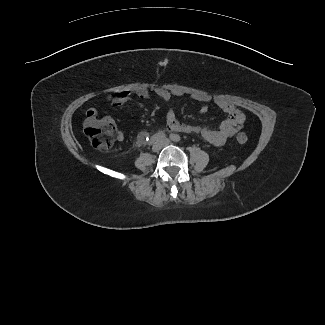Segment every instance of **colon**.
<instances>
[{
	"label": "colon",
	"mask_w": 325,
	"mask_h": 325,
	"mask_svg": "<svg viewBox=\"0 0 325 325\" xmlns=\"http://www.w3.org/2000/svg\"><path fill=\"white\" fill-rule=\"evenodd\" d=\"M116 124L111 118L100 117L98 114L87 115L84 124V134L93 147L99 150H107L114 142ZM236 139L243 144L248 141V136L240 132Z\"/></svg>",
	"instance_id": "obj_1"
}]
</instances>
